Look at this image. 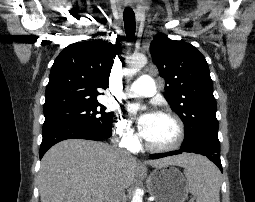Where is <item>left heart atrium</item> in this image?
Returning <instances> with one entry per match:
<instances>
[{
	"label": "left heart atrium",
	"mask_w": 255,
	"mask_h": 202,
	"mask_svg": "<svg viewBox=\"0 0 255 202\" xmlns=\"http://www.w3.org/2000/svg\"><path fill=\"white\" fill-rule=\"evenodd\" d=\"M128 111L129 113H131L132 115H136L140 109V106L138 104H131L128 106ZM156 113L153 111H148L140 116H138L136 118L137 120V124H138V128L140 130V133L142 136L145 135V133L147 132L149 126L151 125L154 117H155Z\"/></svg>",
	"instance_id": "39dd6f15"
}]
</instances>
